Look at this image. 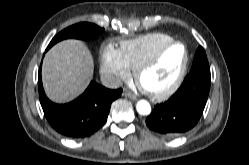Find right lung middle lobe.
<instances>
[{
  "label": "right lung middle lobe",
  "instance_id": "1",
  "mask_svg": "<svg viewBox=\"0 0 249 165\" xmlns=\"http://www.w3.org/2000/svg\"><path fill=\"white\" fill-rule=\"evenodd\" d=\"M104 31L103 28H100L94 24L91 23H78L75 25H72L63 31H61L59 34H57L50 42V44L47 47V50L52 47L55 43L67 39V38H76V39H83L88 40L93 38L94 36L102 33Z\"/></svg>",
  "mask_w": 249,
  "mask_h": 165
}]
</instances>
